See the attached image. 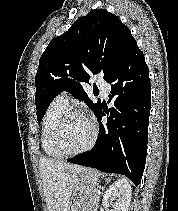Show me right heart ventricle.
Wrapping results in <instances>:
<instances>
[{"label": "right heart ventricle", "instance_id": "1", "mask_svg": "<svg viewBox=\"0 0 178 211\" xmlns=\"http://www.w3.org/2000/svg\"><path fill=\"white\" fill-rule=\"evenodd\" d=\"M68 110L69 105L57 97L50 103L44 115L42 124V146L45 154L50 158L62 157L57 150L55 140L61 120Z\"/></svg>", "mask_w": 178, "mask_h": 211}]
</instances>
